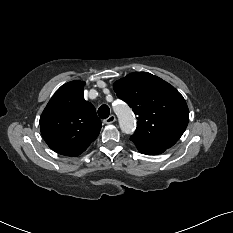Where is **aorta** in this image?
I'll list each match as a JSON object with an SVG mask.
<instances>
[{
  "instance_id": "1",
  "label": "aorta",
  "mask_w": 233,
  "mask_h": 233,
  "mask_svg": "<svg viewBox=\"0 0 233 233\" xmlns=\"http://www.w3.org/2000/svg\"><path fill=\"white\" fill-rule=\"evenodd\" d=\"M113 108L118 117L122 132L132 134L136 128V120L131 108L124 102H118Z\"/></svg>"
}]
</instances>
